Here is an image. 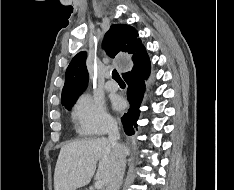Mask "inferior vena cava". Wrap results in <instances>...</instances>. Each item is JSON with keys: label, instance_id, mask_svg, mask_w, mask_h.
<instances>
[{"label": "inferior vena cava", "instance_id": "1", "mask_svg": "<svg viewBox=\"0 0 234 190\" xmlns=\"http://www.w3.org/2000/svg\"><path fill=\"white\" fill-rule=\"evenodd\" d=\"M108 134L109 142L112 147L113 165L106 190H119L122 184L123 175L125 171L126 156L124 149L118 143V140L120 139V134L116 122H112L109 125Z\"/></svg>", "mask_w": 234, "mask_h": 190}]
</instances>
